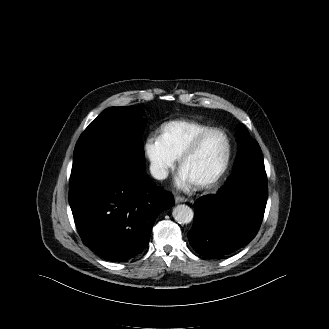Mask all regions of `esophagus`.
Segmentation results:
<instances>
[{
  "mask_svg": "<svg viewBox=\"0 0 329 329\" xmlns=\"http://www.w3.org/2000/svg\"><path fill=\"white\" fill-rule=\"evenodd\" d=\"M186 201H188V199L185 197H181V196L175 197V203H181V202H186Z\"/></svg>",
  "mask_w": 329,
  "mask_h": 329,
  "instance_id": "esophagus-1",
  "label": "esophagus"
}]
</instances>
